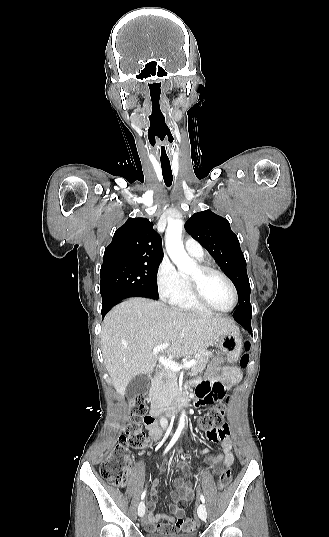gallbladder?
I'll return each mask as SVG.
<instances>
[{"label": "gallbladder", "mask_w": 329, "mask_h": 537, "mask_svg": "<svg viewBox=\"0 0 329 537\" xmlns=\"http://www.w3.org/2000/svg\"><path fill=\"white\" fill-rule=\"evenodd\" d=\"M149 379L146 374H139L133 377L127 388L126 395L129 397H134L140 394H145L149 388Z\"/></svg>", "instance_id": "bac80fb5"}]
</instances>
